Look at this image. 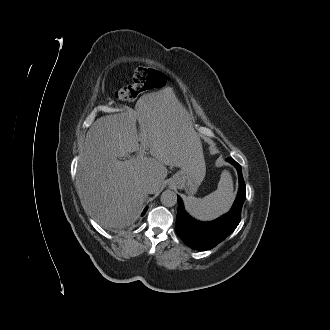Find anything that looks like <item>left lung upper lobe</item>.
<instances>
[{"label":"left lung upper lobe","instance_id":"1","mask_svg":"<svg viewBox=\"0 0 330 330\" xmlns=\"http://www.w3.org/2000/svg\"><path fill=\"white\" fill-rule=\"evenodd\" d=\"M246 195H244L243 199L245 200Z\"/></svg>","mask_w":330,"mask_h":330}]
</instances>
